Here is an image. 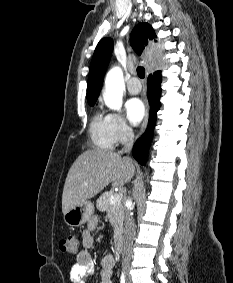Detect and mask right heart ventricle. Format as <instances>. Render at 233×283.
I'll use <instances>...</instances> for the list:
<instances>
[{
	"mask_svg": "<svg viewBox=\"0 0 233 283\" xmlns=\"http://www.w3.org/2000/svg\"><path fill=\"white\" fill-rule=\"evenodd\" d=\"M89 136L94 147L101 150H111L115 141L111 131L108 115L97 112L89 125Z\"/></svg>",
	"mask_w": 233,
	"mask_h": 283,
	"instance_id": "e07e8e85",
	"label": "right heart ventricle"
}]
</instances>
